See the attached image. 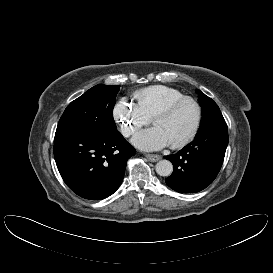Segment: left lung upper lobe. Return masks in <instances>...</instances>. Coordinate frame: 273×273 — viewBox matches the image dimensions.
<instances>
[{"mask_svg": "<svg viewBox=\"0 0 273 273\" xmlns=\"http://www.w3.org/2000/svg\"><path fill=\"white\" fill-rule=\"evenodd\" d=\"M197 92L199 94V103L202 107V119L197 134L207 131L227 129V124L218 105L203 92Z\"/></svg>", "mask_w": 273, "mask_h": 273, "instance_id": "left-lung-upper-lobe-1", "label": "left lung upper lobe"}]
</instances>
